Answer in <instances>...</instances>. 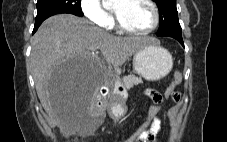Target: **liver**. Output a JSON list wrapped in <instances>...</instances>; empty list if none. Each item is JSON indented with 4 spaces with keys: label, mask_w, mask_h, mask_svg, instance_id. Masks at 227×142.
I'll use <instances>...</instances> for the list:
<instances>
[{
    "label": "liver",
    "mask_w": 227,
    "mask_h": 142,
    "mask_svg": "<svg viewBox=\"0 0 227 142\" xmlns=\"http://www.w3.org/2000/svg\"><path fill=\"white\" fill-rule=\"evenodd\" d=\"M159 43L152 37L114 36L88 20L72 14H57L46 19L31 40V68L38 98L49 117L64 133H82L90 118L96 115L97 90L103 80L94 71L99 49L114 67L122 66L148 43ZM58 61H93L88 66L94 78H87V88H52L49 81Z\"/></svg>",
    "instance_id": "6515ba94"
}]
</instances>
